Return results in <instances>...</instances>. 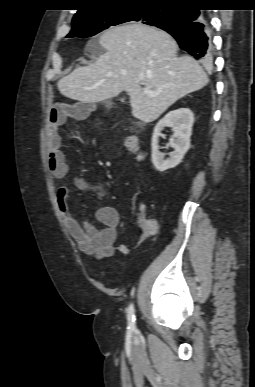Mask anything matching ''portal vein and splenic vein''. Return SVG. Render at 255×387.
<instances>
[{"label":"portal vein and splenic vein","instance_id":"portal-vein-and-splenic-vein-1","mask_svg":"<svg viewBox=\"0 0 255 387\" xmlns=\"http://www.w3.org/2000/svg\"><path fill=\"white\" fill-rule=\"evenodd\" d=\"M145 92L150 95V96H154L155 94L153 92H151L148 88L145 87Z\"/></svg>","mask_w":255,"mask_h":387}]
</instances>
